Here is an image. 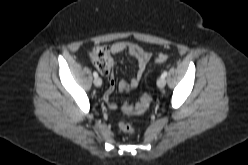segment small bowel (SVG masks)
Returning <instances> with one entry per match:
<instances>
[{"label": "small bowel", "mask_w": 248, "mask_h": 165, "mask_svg": "<svg viewBox=\"0 0 248 165\" xmlns=\"http://www.w3.org/2000/svg\"><path fill=\"white\" fill-rule=\"evenodd\" d=\"M110 51L112 54H119V53H124L128 52L131 55H133L138 62L137 66V71L136 74L132 77V79L128 82L121 81L117 84L114 74L112 72V67L105 72H102L108 79V86L106 90V96L109 97L116 86L118 87L120 92L127 93L133 89H135L139 83L140 80L146 70L147 64L151 59V53L141 46L134 44V43H129L126 41H117L111 44L110 46ZM110 107H114L113 103H109Z\"/></svg>", "instance_id": "obj_1"}]
</instances>
